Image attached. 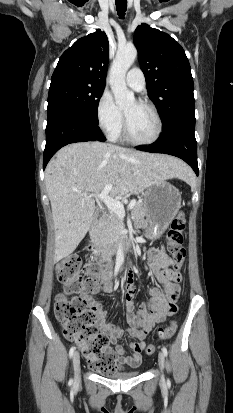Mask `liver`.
I'll use <instances>...</instances> for the list:
<instances>
[{"label": "liver", "instance_id": "obj_1", "mask_svg": "<svg viewBox=\"0 0 233 413\" xmlns=\"http://www.w3.org/2000/svg\"><path fill=\"white\" fill-rule=\"evenodd\" d=\"M179 159L101 142L73 143L60 149L46 168V189L55 229L54 262L69 256L89 230L93 194L112 184L114 197L143 192L152 184L184 178Z\"/></svg>", "mask_w": 233, "mask_h": 413}]
</instances>
